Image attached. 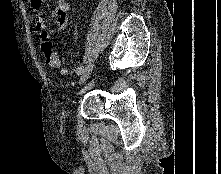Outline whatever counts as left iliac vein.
I'll return each mask as SVG.
<instances>
[{"instance_id":"1","label":"left iliac vein","mask_w":221,"mask_h":174,"mask_svg":"<svg viewBox=\"0 0 221 174\" xmlns=\"http://www.w3.org/2000/svg\"><path fill=\"white\" fill-rule=\"evenodd\" d=\"M92 70H93V64H89L84 68L79 80L80 85L83 84L89 78Z\"/></svg>"}]
</instances>
